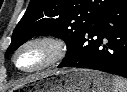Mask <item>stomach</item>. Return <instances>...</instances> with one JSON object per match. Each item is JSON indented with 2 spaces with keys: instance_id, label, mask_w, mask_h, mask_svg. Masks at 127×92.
Returning a JSON list of instances; mask_svg holds the SVG:
<instances>
[{
  "instance_id": "0dacf381",
  "label": "stomach",
  "mask_w": 127,
  "mask_h": 92,
  "mask_svg": "<svg viewBox=\"0 0 127 92\" xmlns=\"http://www.w3.org/2000/svg\"><path fill=\"white\" fill-rule=\"evenodd\" d=\"M34 92H113L109 76L89 69H66L44 73L33 80Z\"/></svg>"
}]
</instances>
